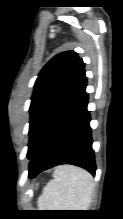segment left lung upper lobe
<instances>
[{"instance_id":"obj_1","label":"left lung upper lobe","mask_w":123,"mask_h":219,"mask_svg":"<svg viewBox=\"0 0 123 219\" xmlns=\"http://www.w3.org/2000/svg\"><path fill=\"white\" fill-rule=\"evenodd\" d=\"M85 78L83 60L74 51L57 54L43 67L31 98L29 159L48 119Z\"/></svg>"}]
</instances>
